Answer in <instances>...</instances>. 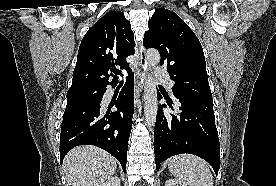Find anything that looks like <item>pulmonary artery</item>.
<instances>
[{"mask_svg": "<svg viewBox=\"0 0 276 186\" xmlns=\"http://www.w3.org/2000/svg\"><path fill=\"white\" fill-rule=\"evenodd\" d=\"M154 74L155 77L159 80H161L163 83H165V85L167 86V88L171 91L174 85L173 80L170 79V77L168 76L166 70L160 68V67H156L154 69Z\"/></svg>", "mask_w": 276, "mask_h": 186, "instance_id": "obj_1", "label": "pulmonary artery"}]
</instances>
